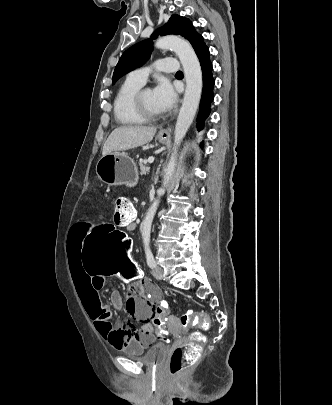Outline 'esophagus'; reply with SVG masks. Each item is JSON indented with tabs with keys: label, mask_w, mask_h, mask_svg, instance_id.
Wrapping results in <instances>:
<instances>
[{
	"label": "esophagus",
	"mask_w": 332,
	"mask_h": 405,
	"mask_svg": "<svg viewBox=\"0 0 332 405\" xmlns=\"http://www.w3.org/2000/svg\"><path fill=\"white\" fill-rule=\"evenodd\" d=\"M169 134H170V130H168V129H163L160 131V135H162V136H169Z\"/></svg>",
	"instance_id": "obj_1"
}]
</instances>
